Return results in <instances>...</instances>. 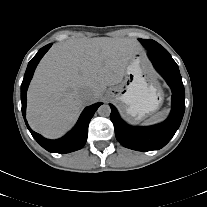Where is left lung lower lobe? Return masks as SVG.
<instances>
[{
	"mask_svg": "<svg viewBox=\"0 0 207 207\" xmlns=\"http://www.w3.org/2000/svg\"><path fill=\"white\" fill-rule=\"evenodd\" d=\"M155 69L163 76L172 90V110L161 124L150 127H132L125 123L113 105L110 119L114 124L118 142L137 151L158 150L164 147L178 130L185 111V92L178 65L167 50L148 51Z\"/></svg>",
	"mask_w": 207,
	"mask_h": 207,
	"instance_id": "1",
	"label": "left lung lower lobe"
}]
</instances>
